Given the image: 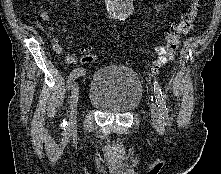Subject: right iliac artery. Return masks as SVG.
Returning <instances> with one entry per match:
<instances>
[{
	"label": "right iliac artery",
	"instance_id": "82829eb1",
	"mask_svg": "<svg viewBox=\"0 0 221 174\" xmlns=\"http://www.w3.org/2000/svg\"><path fill=\"white\" fill-rule=\"evenodd\" d=\"M80 75H85V70L82 69V68H77V69H74L70 75H69V78H68V84L71 85L72 82L78 78ZM70 87V86H69ZM62 126L63 127H66L67 126V121L64 119L63 120V123H62Z\"/></svg>",
	"mask_w": 221,
	"mask_h": 174
}]
</instances>
